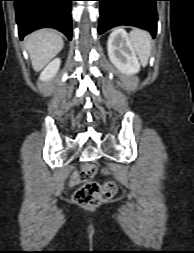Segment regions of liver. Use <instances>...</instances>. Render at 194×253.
Returning <instances> with one entry per match:
<instances>
[{
  "label": "liver",
  "instance_id": "1",
  "mask_svg": "<svg viewBox=\"0 0 194 253\" xmlns=\"http://www.w3.org/2000/svg\"><path fill=\"white\" fill-rule=\"evenodd\" d=\"M64 42L59 32L40 29L28 35L25 47L35 71L43 69L63 48Z\"/></svg>",
  "mask_w": 194,
  "mask_h": 253
}]
</instances>
